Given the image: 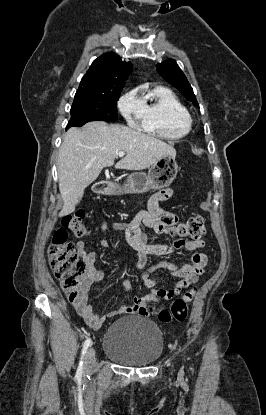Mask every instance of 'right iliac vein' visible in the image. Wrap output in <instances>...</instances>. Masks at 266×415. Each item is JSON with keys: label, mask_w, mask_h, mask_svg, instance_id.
<instances>
[{"label": "right iliac vein", "mask_w": 266, "mask_h": 415, "mask_svg": "<svg viewBox=\"0 0 266 415\" xmlns=\"http://www.w3.org/2000/svg\"><path fill=\"white\" fill-rule=\"evenodd\" d=\"M94 364H95V350L93 348H89L85 356V364H84L85 371L91 370Z\"/></svg>", "instance_id": "obj_1"}]
</instances>
